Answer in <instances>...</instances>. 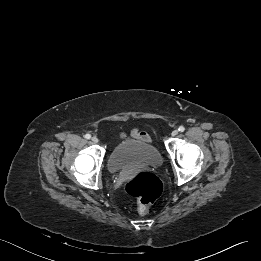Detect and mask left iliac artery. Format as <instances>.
I'll list each match as a JSON object with an SVG mask.
<instances>
[{"mask_svg": "<svg viewBox=\"0 0 261 261\" xmlns=\"http://www.w3.org/2000/svg\"><path fill=\"white\" fill-rule=\"evenodd\" d=\"M178 130H179L180 132H184L185 128H184L183 126H180V127L178 128Z\"/></svg>", "mask_w": 261, "mask_h": 261, "instance_id": "obj_1", "label": "left iliac artery"}]
</instances>
